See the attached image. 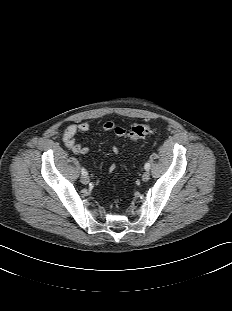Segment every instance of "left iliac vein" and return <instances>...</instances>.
<instances>
[{
	"label": "left iliac vein",
	"mask_w": 232,
	"mask_h": 311,
	"mask_svg": "<svg viewBox=\"0 0 232 311\" xmlns=\"http://www.w3.org/2000/svg\"><path fill=\"white\" fill-rule=\"evenodd\" d=\"M149 179H150V173H149L148 170H146V171L143 173V175H142V180H143L144 182H146V181H148Z\"/></svg>",
	"instance_id": "4c4485c4"
}]
</instances>
